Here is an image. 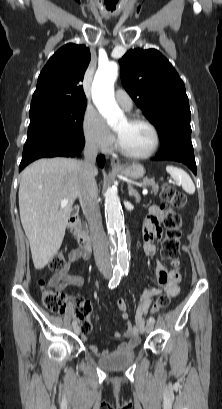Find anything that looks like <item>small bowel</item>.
<instances>
[{
	"label": "small bowel",
	"mask_w": 222,
	"mask_h": 409,
	"mask_svg": "<svg viewBox=\"0 0 222 409\" xmlns=\"http://www.w3.org/2000/svg\"><path fill=\"white\" fill-rule=\"evenodd\" d=\"M148 210L149 213L145 220L142 241L144 253L147 256L152 257L156 254L155 240L159 239L162 235L161 221L163 220L164 214L161 208L157 205H151ZM87 258L88 255H86L81 249H72L66 261L65 268L50 277L48 286L55 288L60 292L68 285L81 286L83 284V279L78 275L71 274L69 271L74 263L84 261ZM171 262L174 265H177L180 262V259L177 256H174L171 259ZM156 273L158 285L154 288L146 289L140 294L135 309V321L133 323L130 321L128 304L122 298L117 299L116 304L121 312V318L124 321L125 328L122 332L116 331L114 336L117 339H127L126 342L118 347V350L134 348L138 345L140 341L139 336L143 332L145 326V316L149 314L147 313V310L152 306L156 295H159L164 291L165 294H168L170 297H175L180 293L179 284L181 282V274L178 271V267L168 270L160 261H157ZM91 351L93 354L102 357L110 354L108 349L100 350L95 346H91Z\"/></svg>",
	"instance_id": "1"
}]
</instances>
